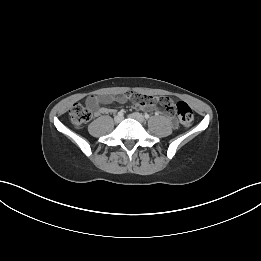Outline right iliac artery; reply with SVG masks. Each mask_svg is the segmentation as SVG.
Segmentation results:
<instances>
[{
  "label": "right iliac artery",
  "instance_id": "right-iliac-artery-1",
  "mask_svg": "<svg viewBox=\"0 0 261 261\" xmlns=\"http://www.w3.org/2000/svg\"><path fill=\"white\" fill-rule=\"evenodd\" d=\"M123 114H124V111H123V110H121L120 112H118V115H119V116H123Z\"/></svg>",
  "mask_w": 261,
  "mask_h": 261
}]
</instances>
